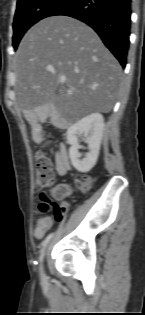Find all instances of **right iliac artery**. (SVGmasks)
Segmentation results:
<instances>
[{
  "mask_svg": "<svg viewBox=\"0 0 145 315\" xmlns=\"http://www.w3.org/2000/svg\"><path fill=\"white\" fill-rule=\"evenodd\" d=\"M54 233H50L42 242V249L41 251H43L44 247L46 246V244L51 240V238L53 237Z\"/></svg>",
  "mask_w": 145,
  "mask_h": 315,
  "instance_id": "82829eb1",
  "label": "right iliac artery"
}]
</instances>
